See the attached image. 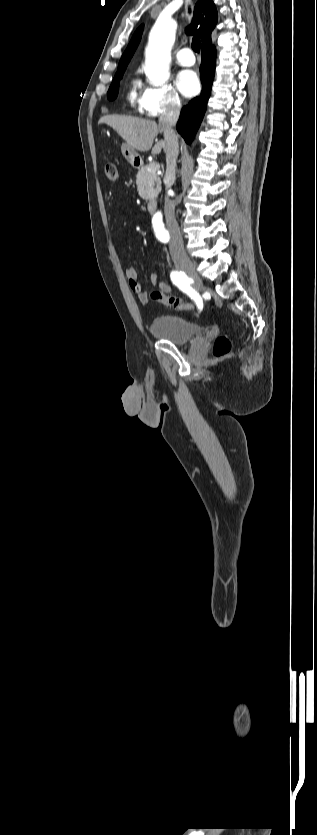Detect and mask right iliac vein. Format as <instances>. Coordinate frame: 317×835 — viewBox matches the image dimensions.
<instances>
[{
  "label": "right iliac vein",
  "instance_id": "63e3f726",
  "mask_svg": "<svg viewBox=\"0 0 317 835\" xmlns=\"http://www.w3.org/2000/svg\"><path fill=\"white\" fill-rule=\"evenodd\" d=\"M175 265L177 268L185 272L189 277H191L195 281V287L198 290L203 288L202 281L196 271L195 264L191 261L188 257H179L175 259Z\"/></svg>",
  "mask_w": 317,
  "mask_h": 835
}]
</instances>
